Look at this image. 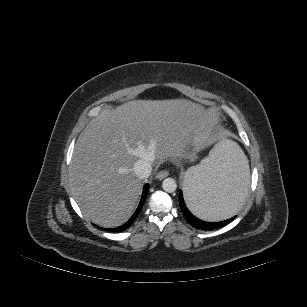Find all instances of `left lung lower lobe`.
<instances>
[{
  "mask_svg": "<svg viewBox=\"0 0 307 307\" xmlns=\"http://www.w3.org/2000/svg\"><path fill=\"white\" fill-rule=\"evenodd\" d=\"M249 181V176L241 167H234L226 174L225 182L221 194L225 198V201L233 206L240 203L245 194L246 187ZM179 204L180 208L186 217L188 223L194 228L201 230H213L223 227L233 221L236 216L220 221V222H206L195 217L186 207L182 191L179 192Z\"/></svg>",
  "mask_w": 307,
  "mask_h": 307,
  "instance_id": "left-lung-lower-lobe-1",
  "label": "left lung lower lobe"
}]
</instances>
